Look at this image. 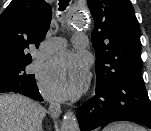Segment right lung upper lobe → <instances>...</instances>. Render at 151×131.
I'll return each mask as SVG.
<instances>
[{"label": "right lung upper lobe", "mask_w": 151, "mask_h": 131, "mask_svg": "<svg viewBox=\"0 0 151 131\" xmlns=\"http://www.w3.org/2000/svg\"><path fill=\"white\" fill-rule=\"evenodd\" d=\"M52 8L44 0H13L0 16V55L25 56L45 38Z\"/></svg>", "instance_id": "1"}]
</instances>
